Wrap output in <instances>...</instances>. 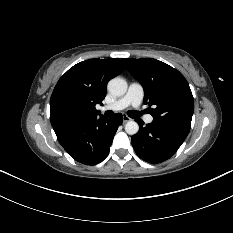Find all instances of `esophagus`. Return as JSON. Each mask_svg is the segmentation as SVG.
I'll return each mask as SVG.
<instances>
[{"label": "esophagus", "mask_w": 233, "mask_h": 233, "mask_svg": "<svg viewBox=\"0 0 233 233\" xmlns=\"http://www.w3.org/2000/svg\"><path fill=\"white\" fill-rule=\"evenodd\" d=\"M130 120H131V118H130L129 116L123 115V122H124V123H126V122H128V121H130Z\"/></svg>", "instance_id": "esophagus-1"}]
</instances>
